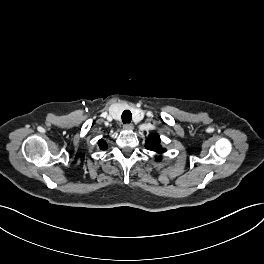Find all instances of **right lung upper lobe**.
Here are the masks:
<instances>
[{"instance_id":"right-lung-upper-lobe-1","label":"right lung upper lobe","mask_w":264,"mask_h":264,"mask_svg":"<svg viewBox=\"0 0 264 264\" xmlns=\"http://www.w3.org/2000/svg\"><path fill=\"white\" fill-rule=\"evenodd\" d=\"M98 145L101 150H106L108 147L107 143L103 139L98 141Z\"/></svg>"}]
</instances>
